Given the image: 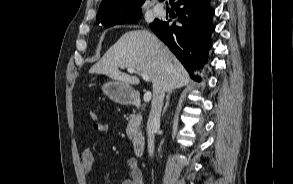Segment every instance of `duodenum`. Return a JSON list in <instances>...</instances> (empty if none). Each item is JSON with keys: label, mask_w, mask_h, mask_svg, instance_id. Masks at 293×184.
Wrapping results in <instances>:
<instances>
[{"label": "duodenum", "mask_w": 293, "mask_h": 184, "mask_svg": "<svg viewBox=\"0 0 293 184\" xmlns=\"http://www.w3.org/2000/svg\"><path fill=\"white\" fill-rule=\"evenodd\" d=\"M131 103L137 107L141 106V99L138 95H134L131 98ZM132 147H133V152L136 156H141L144 152L145 148V137L141 134H138L133 137L132 139Z\"/></svg>", "instance_id": "1"}]
</instances>
